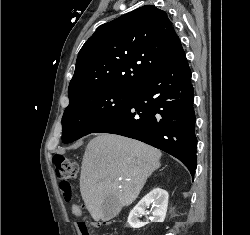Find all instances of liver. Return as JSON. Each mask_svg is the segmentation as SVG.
Instances as JSON below:
<instances>
[{"mask_svg": "<svg viewBox=\"0 0 250 235\" xmlns=\"http://www.w3.org/2000/svg\"><path fill=\"white\" fill-rule=\"evenodd\" d=\"M162 153L145 143L116 134L102 133L87 145L81 167L80 191L95 221L102 220L108 196L121 207L138 197L148 177L157 170Z\"/></svg>", "mask_w": 250, "mask_h": 235, "instance_id": "1", "label": "liver"}]
</instances>
